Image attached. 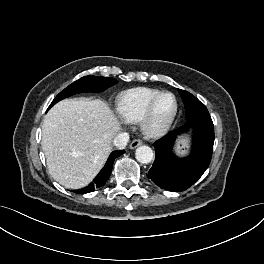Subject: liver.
I'll list each match as a JSON object with an SVG mask.
<instances>
[{
	"label": "liver",
	"mask_w": 264,
	"mask_h": 264,
	"mask_svg": "<svg viewBox=\"0 0 264 264\" xmlns=\"http://www.w3.org/2000/svg\"><path fill=\"white\" fill-rule=\"evenodd\" d=\"M120 129L112 110L101 100L58 102L42 125V149L50 175L66 188L85 187L104 166Z\"/></svg>",
	"instance_id": "1"
}]
</instances>
